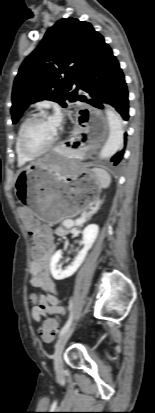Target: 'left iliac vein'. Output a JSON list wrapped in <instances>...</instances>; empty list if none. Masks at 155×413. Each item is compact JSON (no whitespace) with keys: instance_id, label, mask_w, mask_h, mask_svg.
I'll return each mask as SVG.
<instances>
[{"instance_id":"4c4485c4","label":"left iliac vein","mask_w":155,"mask_h":413,"mask_svg":"<svg viewBox=\"0 0 155 413\" xmlns=\"http://www.w3.org/2000/svg\"><path fill=\"white\" fill-rule=\"evenodd\" d=\"M74 328L71 327L69 328L66 332H64L58 341L56 342L55 345V350L53 354V359H54V369L55 372L58 376L63 375V361H62V352L64 349V346L68 339L70 338L71 334L73 333Z\"/></svg>"}]
</instances>
